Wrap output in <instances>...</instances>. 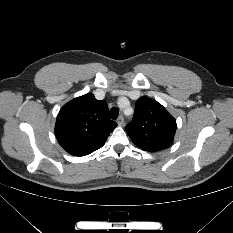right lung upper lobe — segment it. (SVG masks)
Masks as SVG:
<instances>
[{
  "label": "right lung upper lobe",
  "instance_id": "obj_1",
  "mask_svg": "<svg viewBox=\"0 0 233 233\" xmlns=\"http://www.w3.org/2000/svg\"><path fill=\"white\" fill-rule=\"evenodd\" d=\"M117 126L108 117L107 103L89 93L64 105L57 116L56 138L63 149L85 156L103 146Z\"/></svg>",
  "mask_w": 233,
  "mask_h": 233
}]
</instances>
